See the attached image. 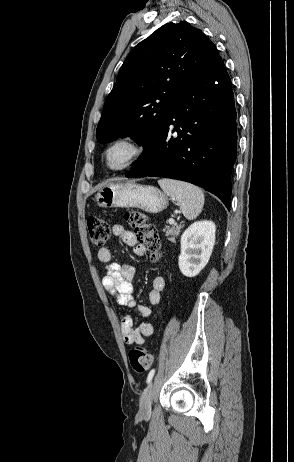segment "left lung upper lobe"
Instances as JSON below:
<instances>
[{"label":"left lung upper lobe","mask_w":294,"mask_h":462,"mask_svg":"<svg viewBox=\"0 0 294 462\" xmlns=\"http://www.w3.org/2000/svg\"><path fill=\"white\" fill-rule=\"evenodd\" d=\"M215 45L188 22L167 23L128 55L108 95L96 137L101 143L133 135L152 143L180 94L221 61Z\"/></svg>","instance_id":"1"}]
</instances>
